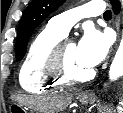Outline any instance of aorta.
<instances>
[{
    "label": "aorta",
    "instance_id": "1",
    "mask_svg": "<svg viewBox=\"0 0 123 113\" xmlns=\"http://www.w3.org/2000/svg\"><path fill=\"white\" fill-rule=\"evenodd\" d=\"M123 76V36L109 70L110 80Z\"/></svg>",
    "mask_w": 123,
    "mask_h": 113
}]
</instances>
